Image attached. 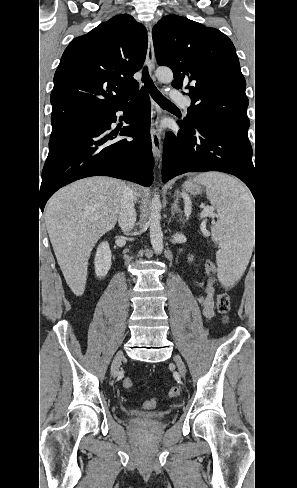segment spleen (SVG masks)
Segmentation results:
<instances>
[{"label": "spleen", "mask_w": 297, "mask_h": 488, "mask_svg": "<svg viewBox=\"0 0 297 488\" xmlns=\"http://www.w3.org/2000/svg\"><path fill=\"white\" fill-rule=\"evenodd\" d=\"M194 181L206 187V195L217 210L212 238L219 243L218 275L234 282L244 273L253 248V202L249 191L237 179L219 173H200Z\"/></svg>", "instance_id": "1"}]
</instances>
